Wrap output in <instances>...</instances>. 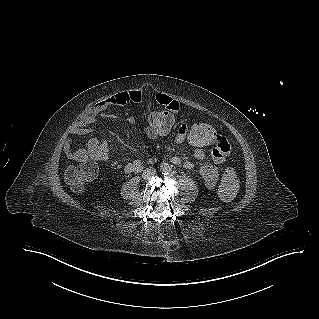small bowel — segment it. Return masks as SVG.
Listing matches in <instances>:
<instances>
[{
  "label": "small bowel",
  "mask_w": 319,
  "mask_h": 319,
  "mask_svg": "<svg viewBox=\"0 0 319 319\" xmlns=\"http://www.w3.org/2000/svg\"><path fill=\"white\" fill-rule=\"evenodd\" d=\"M142 100L143 93L139 90H130L114 94L86 110L71 126L70 133L77 136L87 135L91 132L92 124L95 122L96 118L103 112L113 108L123 107L128 104H137L142 102ZM154 101L155 107L165 108L166 113H177L178 108H181L182 106L181 99H172L169 96L160 93L154 95ZM129 121H132V119L130 118ZM178 128L175 141L177 143H182L186 141L185 135L189 134L190 129L188 126H185L184 122H179ZM211 141L215 143V147L217 149L210 151L209 154H207L206 151H200L194 147L195 158L205 162L200 167L199 173L208 189H214L219 181L220 174L217 165L222 164L225 161V158L231 154L230 148L223 137L213 136ZM72 145V139L67 138L64 146L65 153L68 157L74 158L71 151ZM86 149L88 153L97 156L98 160L101 161H106L110 155V148L108 144L100 141L98 138H91L86 144ZM158 160L159 159L157 157H150L148 162L150 164H155ZM170 161L174 164L182 165L188 170L194 168L193 162L182 160L179 157H172L170 158ZM142 168L143 163L139 160H134L126 165L125 171L131 173L140 171Z\"/></svg>",
  "instance_id": "obj_1"
}]
</instances>
